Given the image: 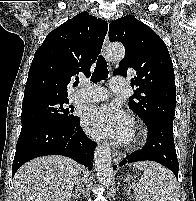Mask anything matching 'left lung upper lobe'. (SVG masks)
<instances>
[{
    "mask_svg": "<svg viewBox=\"0 0 196 201\" xmlns=\"http://www.w3.org/2000/svg\"><path fill=\"white\" fill-rule=\"evenodd\" d=\"M109 40L125 47V57L115 74H135L136 86L129 98V107L145 124L173 122L176 87L172 60L163 40L147 25L133 16H122L109 25Z\"/></svg>",
    "mask_w": 196,
    "mask_h": 201,
    "instance_id": "left-lung-upper-lobe-1",
    "label": "left lung upper lobe"
}]
</instances>
